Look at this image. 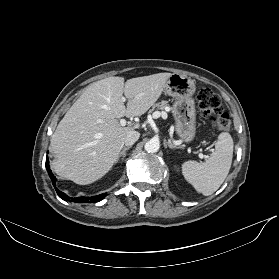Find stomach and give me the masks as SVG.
Segmentation results:
<instances>
[{
    "label": "stomach",
    "instance_id": "obj_1",
    "mask_svg": "<svg viewBox=\"0 0 279 279\" xmlns=\"http://www.w3.org/2000/svg\"><path fill=\"white\" fill-rule=\"evenodd\" d=\"M164 91L174 98L172 113L177 135L185 142L192 141L196 133L194 81L184 75L172 74L166 82Z\"/></svg>",
    "mask_w": 279,
    "mask_h": 279
}]
</instances>
